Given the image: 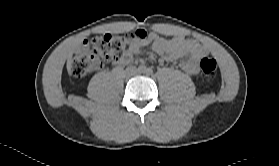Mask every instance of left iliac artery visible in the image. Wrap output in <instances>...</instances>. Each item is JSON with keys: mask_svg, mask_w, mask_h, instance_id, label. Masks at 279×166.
Masks as SVG:
<instances>
[{"mask_svg": "<svg viewBox=\"0 0 279 166\" xmlns=\"http://www.w3.org/2000/svg\"><path fill=\"white\" fill-rule=\"evenodd\" d=\"M146 73H147L148 75H150V74L153 73V70H152L151 68H148V69L146 70Z\"/></svg>", "mask_w": 279, "mask_h": 166, "instance_id": "1", "label": "left iliac artery"}]
</instances>
